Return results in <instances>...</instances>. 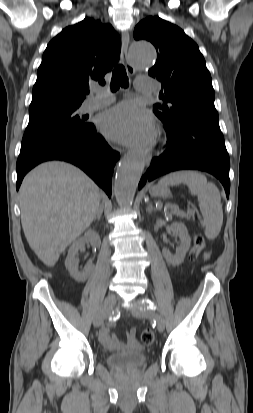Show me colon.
<instances>
[{
    "label": "colon",
    "mask_w": 253,
    "mask_h": 413,
    "mask_svg": "<svg viewBox=\"0 0 253 413\" xmlns=\"http://www.w3.org/2000/svg\"><path fill=\"white\" fill-rule=\"evenodd\" d=\"M205 246V240L202 236H197L194 240V244L193 247L189 253V259L190 260H196L197 257L199 256L200 252L202 251V249ZM141 341L143 344L145 345H150L154 342L155 339V335L154 332L150 329H145L142 331L141 333Z\"/></svg>",
    "instance_id": "1"
}]
</instances>
